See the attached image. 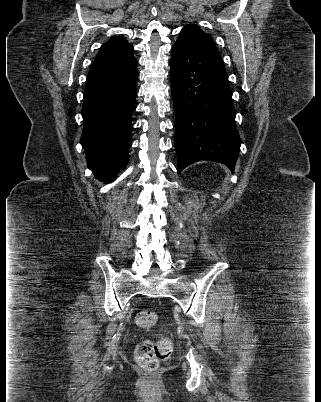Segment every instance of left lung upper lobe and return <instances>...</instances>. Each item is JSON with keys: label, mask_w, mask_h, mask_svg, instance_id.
Wrapping results in <instances>:
<instances>
[{"label": "left lung upper lobe", "mask_w": 321, "mask_h": 402, "mask_svg": "<svg viewBox=\"0 0 321 402\" xmlns=\"http://www.w3.org/2000/svg\"><path fill=\"white\" fill-rule=\"evenodd\" d=\"M176 43L186 44L219 55L211 37L204 33L196 24L186 25L181 30Z\"/></svg>", "instance_id": "obj_1"}]
</instances>
